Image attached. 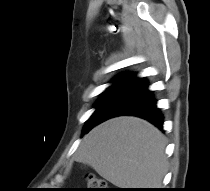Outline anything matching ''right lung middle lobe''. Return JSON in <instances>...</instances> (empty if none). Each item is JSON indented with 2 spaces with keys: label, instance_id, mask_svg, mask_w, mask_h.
I'll return each mask as SVG.
<instances>
[{
  "label": "right lung middle lobe",
  "instance_id": "right-lung-middle-lobe-1",
  "mask_svg": "<svg viewBox=\"0 0 210 191\" xmlns=\"http://www.w3.org/2000/svg\"><path fill=\"white\" fill-rule=\"evenodd\" d=\"M121 78V76H118L115 78L112 82L114 83L112 86H110L108 89H106L102 94L98 101V103L95 105L97 108L96 111L93 113V115L89 118V120L86 122L84 128H83V134L89 132L94 126L96 122V115L100 109V107L106 102L108 99L111 91L113 90L115 84L118 82V80Z\"/></svg>",
  "mask_w": 210,
  "mask_h": 191
}]
</instances>
